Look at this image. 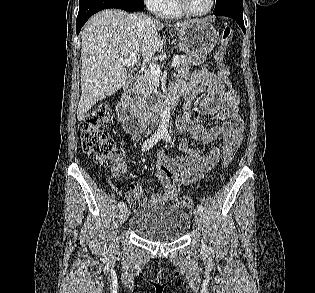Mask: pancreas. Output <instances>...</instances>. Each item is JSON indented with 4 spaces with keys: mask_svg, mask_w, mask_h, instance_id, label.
<instances>
[{
    "mask_svg": "<svg viewBox=\"0 0 315 293\" xmlns=\"http://www.w3.org/2000/svg\"><path fill=\"white\" fill-rule=\"evenodd\" d=\"M180 63L177 65V76L182 79H187L189 77V70L192 65V61L189 57L178 56ZM134 97L129 98L130 104L135 109L139 110L141 113H146L150 105L147 99L152 95H158L157 88L153 82V76L150 72L146 73L137 83L134 88Z\"/></svg>",
    "mask_w": 315,
    "mask_h": 293,
    "instance_id": "pancreas-1",
    "label": "pancreas"
}]
</instances>
